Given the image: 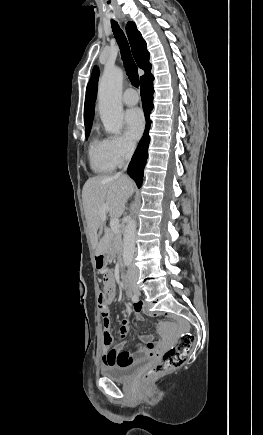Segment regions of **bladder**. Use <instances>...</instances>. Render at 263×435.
I'll use <instances>...</instances> for the list:
<instances>
[{
  "mask_svg": "<svg viewBox=\"0 0 263 435\" xmlns=\"http://www.w3.org/2000/svg\"><path fill=\"white\" fill-rule=\"evenodd\" d=\"M145 363V360H139L127 365H112L101 368V374L116 382H125L129 380Z\"/></svg>",
  "mask_w": 263,
  "mask_h": 435,
  "instance_id": "bladder-1",
  "label": "bladder"
}]
</instances>
